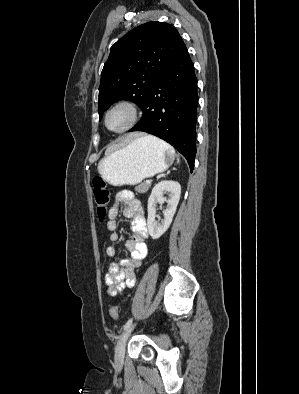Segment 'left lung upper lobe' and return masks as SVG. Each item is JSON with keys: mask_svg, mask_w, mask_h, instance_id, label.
<instances>
[{"mask_svg": "<svg viewBox=\"0 0 299 394\" xmlns=\"http://www.w3.org/2000/svg\"><path fill=\"white\" fill-rule=\"evenodd\" d=\"M185 48L175 27L157 21L134 28L113 44L101 73L100 118L121 99L142 107L156 79Z\"/></svg>", "mask_w": 299, "mask_h": 394, "instance_id": "1", "label": "left lung upper lobe"}]
</instances>
